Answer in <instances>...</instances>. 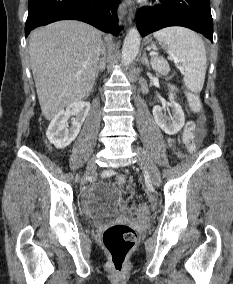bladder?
<instances>
[{"label":"bladder","instance_id":"bladder-1","mask_svg":"<svg viewBox=\"0 0 233 284\" xmlns=\"http://www.w3.org/2000/svg\"><path fill=\"white\" fill-rule=\"evenodd\" d=\"M120 196L118 188L109 184H99L95 186L88 194L87 201L98 206H107L113 204Z\"/></svg>","mask_w":233,"mask_h":284}]
</instances>
